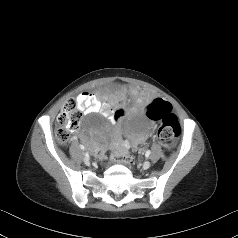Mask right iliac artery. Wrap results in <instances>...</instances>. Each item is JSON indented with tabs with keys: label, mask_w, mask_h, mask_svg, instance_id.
I'll list each match as a JSON object with an SVG mask.
<instances>
[{
	"label": "right iliac artery",
	"mask_w": 238,
	"mask_h": 238,
	"mask_svg": "<svg viewBox=\"0 0 238 238\" xmlns=\"http://www.w3.org/2000/svg\"><path fill=\"white\" fill-rule=\"evenodd\" d=\"M80 148H81L82 150L85 149L84 145H82V144H80Z\"/></svg>",
	"instance_id": "82829eb1"
}]
</instances>
